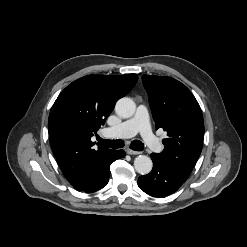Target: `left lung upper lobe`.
<instances>
[{
	"instance_id": "obj_1",
	"label": "left lung upper lobe",
	"mask_w": 247,
	"mask_h": 247,
	"mask_svg": "<svg viewBox=\"0 0 247 247\" xmlns=\"http://www.w3.org/2000/svg\"><path fill=\"white\" fill-rule=\"evenodd\" d=\"M156 129L163 128L164 150L156 154L186 174L194 168L203 145L204 123L201 108L181 82L162 76H142Z\"/></svg>"
}]
</instances>
